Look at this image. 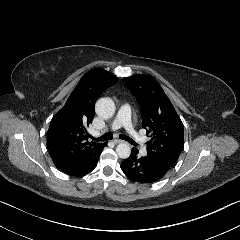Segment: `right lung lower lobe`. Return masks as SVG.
<instances>
[{
    "instance_id": "98d812e1",
    "label": "right lung lower lobe",
    "mask_w": 240,
    "mask_h": 240,
    "mask_svg": "<svg viewBox=\"0 0 240 240\" xmlns=\"http://www.w3.org/2000/svg\"><path fill=\"white\" fill-rule=\"evenodd\" d=\"M101 154V153H100ZM96 156L95 158H93L85 167H83L82 169L78 170V171H75V172H72V173H67L69 175H72V176H78V177H81V176H84L88 173H90L97 165V162H98V159H99V156Z\"/></svg>"
}]
</instances>
